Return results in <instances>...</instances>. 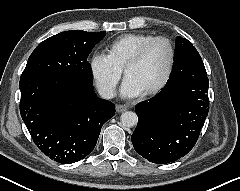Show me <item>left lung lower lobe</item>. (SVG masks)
I'll return each mask as SVG.
<instances>
[{
	"instance_id": "1",
	"label": "left lung lower lobe",
	"mask_w": 240,
	"mask_h": 191,
	"mask_svg": "<svg viewBox=\"0 0 240 191\" xmlns=\"http://www.w3.org/2000/svg\"><path fill=\"white\" fill-rule=\"evenodd\" d=\"M209 80L204 68L177 65L155 97L139 103L131 136L135 151L167 164L186 155L198 140L208 114Z\"/></svg>"
}]
</instances>
